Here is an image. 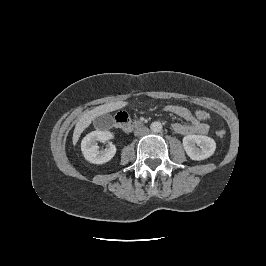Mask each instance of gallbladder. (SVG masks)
<instances>
[{
    "label": "gallbladder",
    "mask_w": 266,
    "mask_h": 266,
    "mask_svg": "<svg viewBox=\"0 0 266 266\" xmlns=\"http://www.w3.org/2000/svg\"><path fill=\"white\" fill-rule=\"evenodd\" d=\"M113 122H114V119L109 114L98 116L94 120V124L96 127H109V126H112Z\"/></svg>",
    "instance_id": "obj_1"
}]
</instances>
